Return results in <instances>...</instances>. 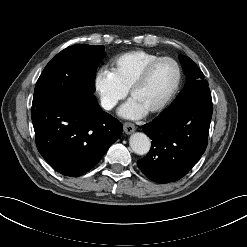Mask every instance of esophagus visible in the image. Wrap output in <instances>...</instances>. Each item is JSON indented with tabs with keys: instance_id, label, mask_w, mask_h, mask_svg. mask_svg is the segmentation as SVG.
<instances>
[{
	"instance_id": "34e87169",
	"label": "esophagus",
	"mask_w": 247,
	"mask_h": 247,
	"mask_svg": "<svg viewBox=\"0 0 247 247\" xmlns=\"http://www.w3.org/2000/svg\"><path fill=\"white\" fill-rule=\"evenodd\" d=\"M123 130L126 134H131L136 130V127L134 124H132L130 122H125L123 124Z\"/></svg>"
}]
</instances>
